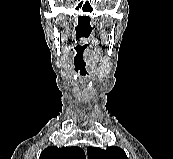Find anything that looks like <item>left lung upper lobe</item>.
Instances as JSON below:
<instances>
[{
  "label": "left lung upper lobe",
  "mask_w": 173,
  "mask_h": 159,
  "mask_svg": "<svg viewBox=\"0 0 173 159\" xmlns=\"http://www.w3.org/2000/svg\"><path fill=\"white\" fill-rule=\"evenodd\" d=\"M88 159H128L123 149L113 146L106 150L96 147L87 148Z\"/></svg>",
  "instance_id": "left-lung-upper-lobe-1"
}]
</instances>
